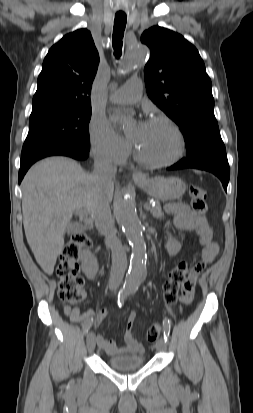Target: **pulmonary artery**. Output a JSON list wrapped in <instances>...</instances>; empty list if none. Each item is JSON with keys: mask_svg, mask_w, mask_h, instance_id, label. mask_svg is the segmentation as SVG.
Listing matches in <instances>:
<instances>
[{"mask_svg": "<svg viewBox=\"0 0 253 413\" xmlns=\"http://www.w3.org/2000/svg\"><path fill=\"white\" fill-rule=\"evenodd\" d=\"M142 83L138 79L130 80L123 87L112 93L110 101L117 104H133L141 97Z\"/></svg>", "mask_w": 253, "mask_h": 413, "instance_id": "e3ab8cb5", "label": "pulmonary artery"}]
</instances>
